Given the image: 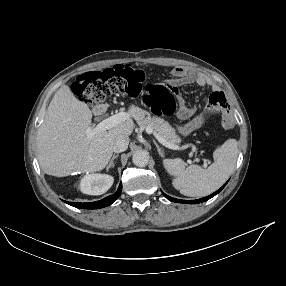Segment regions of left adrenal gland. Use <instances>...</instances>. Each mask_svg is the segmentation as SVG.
<instances>
[{
    "label": "left adrenal gland",
    "instance_id": "a2214340",
    "mask_svg": "<svg viewBox=\"0 0 286 286\" xmlns=\"http://www.w3.org/2000/svg\"><path fill=\"white\" fill-rule=\"evenodd\" d=\"M153 142H154V144H155V146L157 148L158 154L163 158L164 157V153L162 151V148L159 147V145L156 143L155 140H153Z\"/></svg>",
    "mask_w": 286,
    "mask_h": 286
}]
</instances>
